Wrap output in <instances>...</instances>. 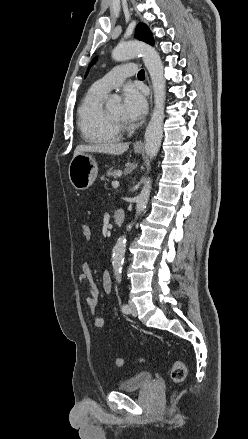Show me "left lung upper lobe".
I'll use <instances>...</instances> for the list:
<instances>
[{"instance_id": "left-lung-upper-lobe-1", "label": "left lung upper lobe", "mask_w": 248, "mask_h": 439, "mask_svg": "<svg viewBox=\"0 0 248 439\" xmlns=\"http://www.w3.org/2000/svg\"><path fill=\"white\" fill-rule=\"evenodd\" d=\"M135 37L138 40L144 41L150 45H154V39L152 36L151 31L149 30V28L143 24V23H139L136 27V31H135ZM94 61H92L91 64H93ZM87 75V73H86Z\"/></svg>"}]
</instances>
